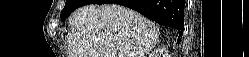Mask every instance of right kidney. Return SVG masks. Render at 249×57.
I'll return each mask as SVG.
<instances>
[{
	"instance_id": "1",
	"label": "right kidney",
	"mask_w": 249,
	"mask_h": 57,
	"mask_svg": "<svg viewBox=\"0 0 249 57\" xmlns=\"http://www.w3.org/2000/svg\"><path fill=\"white\" fill-rule=\"evenodd\" d=\"M155 57H163L164 56V53L162 51H158L155 53L154 55Z\"/></svg>"
}]
</instances>
